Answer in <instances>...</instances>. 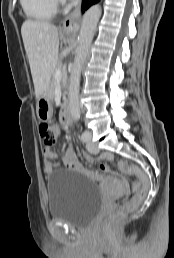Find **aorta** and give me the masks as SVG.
Wrapping results in <instances>:
<instances>
[{
	"instance_id": "762f6f07",
	"label": "aorta",
	"mask_w": 174,
	"mask_h": 258,
	"mask_svg": "<svg viewBox=\"0 0 174 258\" xmlns=\"http://www.w3.org/2000/svg\"><path fill=\"white\" fill-rule=\"evenodd\" d=\"M100 16L101 8L99 5H93L90 7L82 19L80 32L78 35V46L71 69L68 93L69 110L74 121L80 119L79 88L82 66L87 57Z\"/></svg>"
}]
</instances>
